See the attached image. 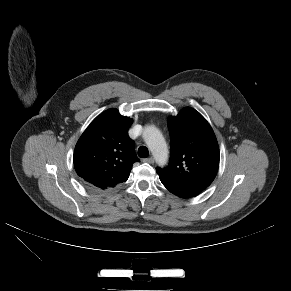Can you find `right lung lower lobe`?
<instances>
[{"label": "right lung lower lobe", "instance_id": "98d812e1", "mask_svg": "<svg viewBox=\"0 0 291 291\" xmlns=\"http://www.w3.org/2000/svg\"><path fill=\"white\" fill-rule=\"evenodd\" d=\"M86 186H88L90 189H94V190H97L95 187H93L92 185L88 184V183H85Z\"/></svg>", "mask_w": 291, "mask_h": 291}]
</instances>
